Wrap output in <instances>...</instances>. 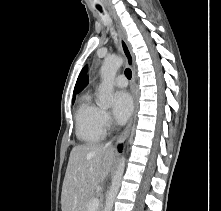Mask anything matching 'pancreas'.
I'll return each mask as SVG.
<instances>
[{
	"label": "pancreas",
	"instance_id": "cf45deb5",
	"mask_svg": "<svg viewBox=\"0 0 221 211\" xmlns=\"http://www.w3.org/2000/svg\"><path fill=\"white\" fill-rule=\"evenodd\" d=\"M93 198H94V194H91L90 196L87 197V199L85 200V204H84V207H85L84 211H88L89 203Z\"/></svg>",
	"mask_w": 221,
	"mask_h": 211
}]
</instances>
